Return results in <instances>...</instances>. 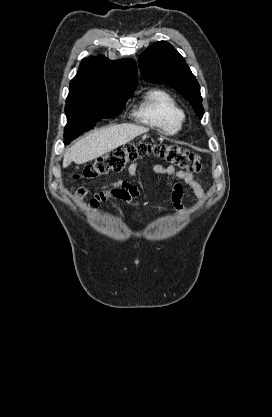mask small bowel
I'll return each instance as SVG.
<instances>
[{"label": "small bowel", "instance_id": "c3829d8e", "mask_svg": "<svg viewBox=\"0 0 272 417\" xmlns=\"http://www.w3.org/2000/svg\"><path fill=\"white\" fill-rule=\"evenodd\" d=\"M147 164L148 162H134L130 164L128 167L129 175L132 177L138 176L139 167ZM151 169L155 174L177 179L172 186L171 198L173 205L179 214L182 213V200L185 196V186L190 188L198 199H203V185L200 180L195 178L191 173L177 170L173 166H164L161 164H154ZM88 193L89 191L86 187L73 189V194L77 199H83ZM138 195L139 192L134 185L126 181L115 182L104 186L92 197L89 209L90 211H95L102 202L109 199H119L131 206H135L137 204Z\"/></svg>", "mask_w": 272, "mask_h": 417}]
</instances>
